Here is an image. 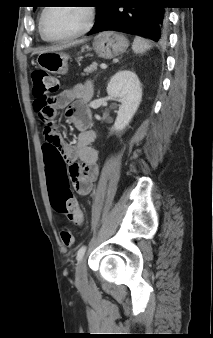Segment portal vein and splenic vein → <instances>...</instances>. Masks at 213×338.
<instances>
[{
	"label": "portal vein and splenic vein",
	"mask_w": 213,
	"mask_h": 338,
	"mask_svg": "<svg viewBox=\"0 0 213 338\" xmlns=\"http://www.w3.org/2000/svg\"><path fill=\"white\" fill-rule=\"evenodd\" d=\"M100 67H101L102 69H105V68H107V65L104 64V63H102V64L100 65Z\"/></svg>",
	"instance_id": "18ae733b"
}]
</instances>
